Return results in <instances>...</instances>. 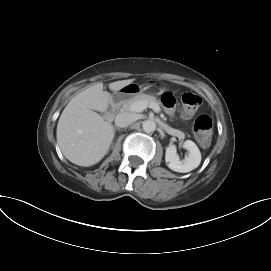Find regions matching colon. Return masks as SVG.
Returning <instances> with one entry per match:
<instances>
[{"instance_id":"obj_1","label":"colon","mask_w":271,"mask_h":271,"mask_svg":"<svg viewBox=\"0 0 271 271\" xmlns=\"http://www.w3.org/2000/svg\"><path fill=\"white\" fill-rule=\"evenodd\" d=\"M163 103L170 107L173 104V98L170 93L163 95ZM202 104V98L193 93H185L181 99V115L184 118H189L194 115ZM193 130L197 142L202 147H208L212 138V120L207 115L198 116L193 125Z\"/></svg>"}]
</instances>
